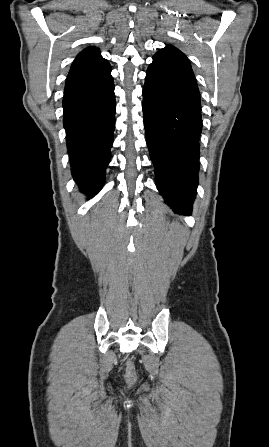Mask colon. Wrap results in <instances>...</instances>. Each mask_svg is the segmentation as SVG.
<instances>
[{
	"instance_id": "obj_1",
	"label": "colon",
	"mask_w": 269,
	"mask_h": 447,
	"mask_svg": "<svg viewBox=\"0 0 269 447\" xmlns=\"http://www.w3.org/2000/svg\"><path fill=\"white\" fill-rule=\"evenodd\" d=\"M125 366H126V371H125L126 379L129 382H132L133 385H136L137 384L136 373H135V368H134L133 362L131 360H127L125 363Z\"/></svg>"
}]
</instances>
